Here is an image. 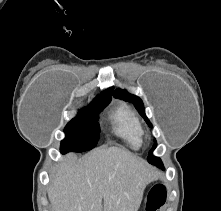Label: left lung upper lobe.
I'll use <instances>...</instances> for the list:
<instances>
[{
  "mask_svg": "<svg viewBox=\"0 0 221 211\" xmlns=\"http://www.w3.org/2000/svg\"><path fill=\"white\" fill-rule=\"evenodd\" d=\"M114 97L124 99L125 101L134 102L135 107L138 109L140 114L144 117L145 121L149 124V126L152 127L150 121L145 115L143 102L138 96L132 95L128 93L126 90L117 89L114 92ZM156 146H157V143L155 141V144L153 145L152 149L149 152L148 162L153 165H156L157 167H160L162 165L160 158L152 155V152L156 148Z\"/></svg>",
  "mask_w": 221,
  "mask_h": 211,
  "instance_id": "obj_1",
  "label": "left lung upper lobe"
}]
</instances>
